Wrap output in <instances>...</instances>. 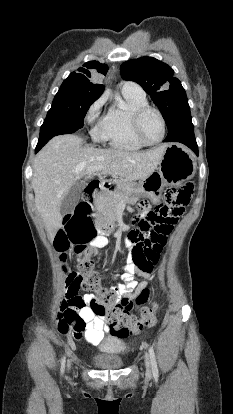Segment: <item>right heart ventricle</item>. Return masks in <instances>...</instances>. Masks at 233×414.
<instances>
[{"instance_id": "obj_1", "label": "right heart ventricle", "mask_w": 233, "mask_h": 414, "mask_svg": "<svg viewBox=\"0 0 233 414\" xmlns=\"http://www.w3.org/2000/svg\"><path fill=\"white\" fill-rule=\"evenodd\" d=\"M124 105H113L98 125L101 139L112 148L136 151L147 146L135 135L132 115L139 108L148 105L144 93L122 90Z\"/></svg>"}]
</instances>
